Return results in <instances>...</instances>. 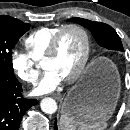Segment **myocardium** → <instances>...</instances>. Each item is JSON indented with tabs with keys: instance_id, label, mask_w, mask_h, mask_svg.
Here are the masks:
<instances>
[{
	"instance_id": "myocardium-1",
	"label": "myocardium",
	"mask_w": 130,
	"mask_h": 130,
	"mask_svg": "<svg viewBox=\"0 0 130 130\" xmlns=\"http://www.w3.org/2000/svg\"><path fill=\"white\" fill-rule=\"evenodd\" d=\"M69 29L78 31L84 39V52H83L82 59L78 65L77 69L70 76L65 78L66 82H74L85 71L89 58H90V53H91V37H90L88 31L83 26H81L80 24H77V23H69V24L63 25L53 36V38L50 42L49 48L47 50V53L44 56L43 60L45 61V60L51 59L57 54L60 39H61L63 33Z\"/></svg>"
}]
</instances>
